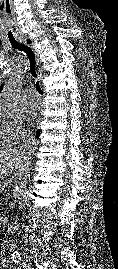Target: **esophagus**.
<instances>
[{"mask_svg": "<svg viewBox=\"0 0 118 269\" xmlns=\"http://www.w3.org/2000/svg\"><path fill=\"white\" fill-rule=\"evenodd\" d=\"M19 41L21 43H24L25 45L29 46L33 50V52H34V54L36 56V59H37V64H39L38 54H37L35 44H34V41L32 40V38H30V37H22V38H19Z\"/></svg>", "mask_w": 118, "mask_h": 269, "instance_id": "1", "label": "esophagus"}]
</instances>
